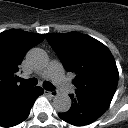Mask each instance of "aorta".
Instances as JSON below:
<instances>
[{
    "mask_svg": "<svg viewBox=\"0 0 128 128\" xmlns=\"http://www.w3.org/2000/svg\"><path fill=\"white\" fill-rule=\"evenodd\" d=\"M27 60L34 66L40 67L46 63V54L42 49L33 48L27 54ZM71 98L65 93H59L53 98V107L57 112L65 113L71 108Z\"/></svg>",
    "mask_w": 128,
    "mask_h": 128,
    "instance_id": "1",
    "label": "aorta"
}]
</instances>
